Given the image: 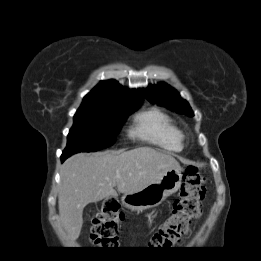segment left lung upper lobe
<instances>
[{
	"instance_id": "left-lung-upper-lobe-1",
	"label": "left lung upper lobe",
	"mask_w": 261,
	"mask_h": 261,
	"mask_svg": "<svg viewBox=\"0 0 261 261\" xmlns=\"http://www.w3.org/2000/svg\"><path fill=\"white\" fill-rule=\"evenodd\" d=\"M141 91L142 95L153 103L166 106L181 114L194 115L188 102L182 99L175 89L165 83H159L154 87L150 85L147 89Z\"/></svg>"
}]
</instances>
